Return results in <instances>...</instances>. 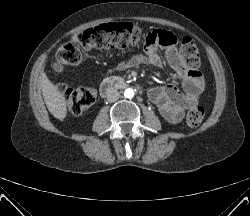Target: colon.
Masks as SVG:
<instances>
[{
	"label": "colon",
	"instance_id": "colon-1",
	"mask_svg": "<svg viewBox=\"0 0 250 216\" xmlns=\"http://www.w3.org/2000/svg\"><path fill=\"white\" fill-rule=\"evenodd\" d=\"M141 39V29L132 23H105L79 32L62 43L58 48L57 58L63 64L78 65L82 61L81 49H124L138 45ZM179 54L186 69L197 71L200 65L199 52L190 38L183 39ZM58 90L73 115L84 113L96 99L95 91L90 87L73 88L66 84H59ZM204 115L203 107H193L187 114L188 125L199 126Z\"/></svg>",
	"mask_w": 250,
	"mask_h": 216
}]
</instances>
